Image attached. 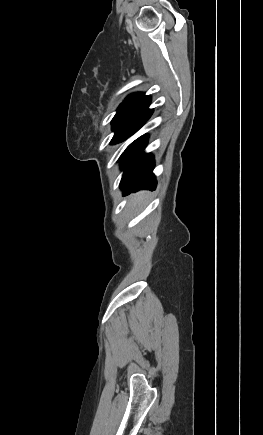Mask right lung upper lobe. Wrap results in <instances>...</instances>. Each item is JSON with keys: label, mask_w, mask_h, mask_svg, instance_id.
I'll use <instances>...</instances> for the list:
<instances>
[{"label": "right lung upper lobe", "mask_w": 263, "mask_h": 435, "mask_svg": "<svg viewBox=\"0 0 263 435\" xmlns=\"http://www.w3.org/2000/svg\"><path fill=\"white\" fill-rule=\"evenodd\" d=\"M151 102V97L143 93L129 95L120 106H147Z\"/></svg>", "instance_id": "right-lung-upper-lobe-1"}]
</instances>
